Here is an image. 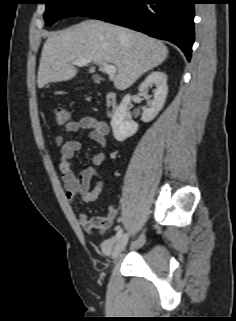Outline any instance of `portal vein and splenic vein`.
<instances>
[{"label": "portal vein and splenic vein", "instance_id": "1", "mask_svg": "<svg viewBox=\"0 0 236 321\" xmlns=\"http://www.w3.org/2000/svg\"><path fill=\"white\" fill-rule=\"evenodd\" d=\"M90 62H91V59H79V60L72 61V64L81 67V66L87 65ZM102 67L105 73L108 74L110 77L115 76L117 69L114 65L102 63Z\"/></svg>", "mask_w": 236, "mask_h": 321}]
</instances>
